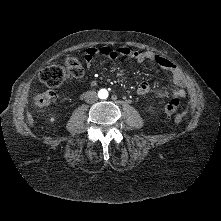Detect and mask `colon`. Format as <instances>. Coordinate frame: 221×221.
Segmentation results:
<instances>
[{
	"mask_svg": "<svg viewBox=\"0 0 221 221\" xmlns=\"http://www.w3.org/2000/svg\"><path fill=\"white\" fill-rule=\"evenodd\" d=\"M84 74V68L77 57H69L63 65H50L44 68L39 75L40 81L47 87L53 88L71 78H79ZM56 95L52 90L38 91L34 94L33 101L36 109L46 111L54 102ZM180 107V99L172 98L164 107L167 115L175 114Z\"/></svg>",
	"mask_w": 221,
	"mask_h": 221,
	"instance_id": "colon-1",
	"label": "colon"
}]
</instances>
